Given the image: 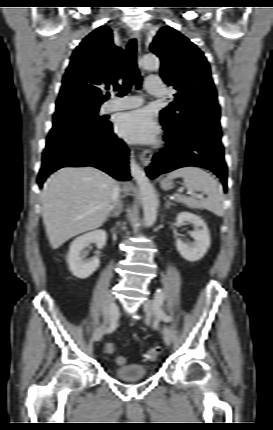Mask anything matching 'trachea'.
I'll list each match as a JSON object with an SVG mask.
<instances>
[{"instance_id": "1", "label": "trachea", "mask_w": 273, "mask_h": 430, "mask_svg": "<svg viewBox=\"0 0 273 430\" xmlns=\"http://www.w3.org/2000/svg\"><path fill=\"white\" fill-rule=\"evenodd\" d=\"M136 39L130 40L126 49L125 70L123 86L120 88L119 96L126 95L133 84L137 88L141 87L142 78L137 68L136 62Z\"/></svg>"}]
</instances>
